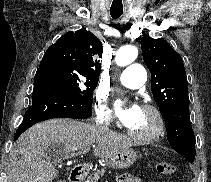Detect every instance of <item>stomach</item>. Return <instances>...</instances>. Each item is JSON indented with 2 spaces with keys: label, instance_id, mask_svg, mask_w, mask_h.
<instances>
[{
  "label": "stomach",
  "instance_id": "stomach-1",
  "mask_svg": "<svg viewBox=\"0 0 211 182\" xmlns=\"http://www.w3.org/2000/svg\"><path fill=\"white\" fill-rule=\"evenodd\" d=\"M136 152L132 148H126L107 160V165L114 169H126L136 160Z\"/></svg>",
  "mask_w": 211,
  "mask_h": 182
}]
</instances>
